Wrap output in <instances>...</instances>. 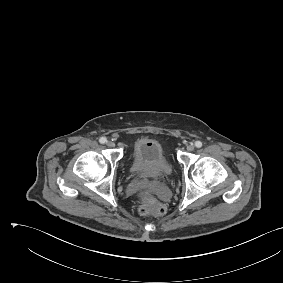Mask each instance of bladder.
Returning <instances> with one entry per match:
<instances>
[{"label":"bladder","instance_id":"1","mask_svg":"<svg viewBox=\"0 0 283 283\" xmlns=\"http://www.w3.org/2000/svg\"><path fill=\"white\" fill-rule=\"evenodd\" d=\"M131 173L138 178H161L171 173L172 165L161 143L141 139L134 144Z\"/></svg>","mask_w":283,"mask_h":283}]
</instances>
